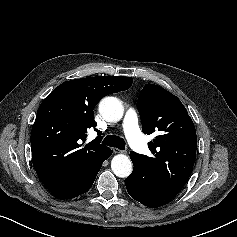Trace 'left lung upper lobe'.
Returning <instances> with one entry per match:
<instances>
[{"instance_id":"1","label":"left lung upper lobe","mask_w":237,"mask_h":237,"mask_svg":"<svg viewBox=\"0 0 237 237\" xmlns=\"http://www.w3.org/2000/svg\"><path fill=\"white\" fill-rule=\"evenodd\" d=\"M143 133H157L153 156L130 153L137 182L150 199L174 198L188 181L196 158L193 121L181 101L164 88L146 84L138 98Z\"/></svg>"}]
</instances>
